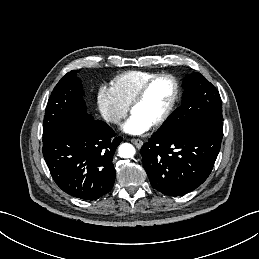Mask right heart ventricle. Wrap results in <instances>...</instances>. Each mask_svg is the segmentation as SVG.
<instances>
[{
  "mask_svg": "<svg viewBox=\"0 0 259 259\" xmlns=\"http://www.w3.org/2000/svg\"><path fill=\"white\" fill-rule=\"evenodd\" d=\"M154 75L156 74L139 70L126 71L113 78L111 88L128 106L141 86Z\"/></svg>",
  "mask_w": 259,
  "mask_h": 259,
  "instance_id": "e07e8e85",
  "label": "right heart ventricle"
}]
</instances>
